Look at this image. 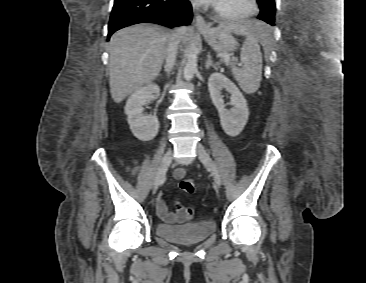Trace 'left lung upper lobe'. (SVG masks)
I'll return each instance as SVG.
<instances>
[{
    "instance_id": "left-lung-upper-lobe-1",
    "label": "left lung upper lobe",
    "mask_w": 366,
    "mask_h": 283,
    "mask_svg": "<svg viewBox=\"0 0 366 283\" xmlns=\"http://www.w3.org/2000/svg\"><path fill=\"white\" fill-rule=\"evenodd\" d=\"M260 7L258 19L266 23L275 25V1L274 0H257Z\"/></svg>"
}]
</instances>
